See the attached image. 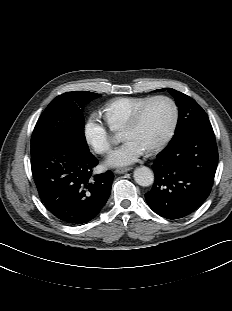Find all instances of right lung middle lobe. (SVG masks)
<instances>
[{
  "mask_svg": "<svg viewBox=\"0 0 232 311\" xmlns=\"http://www.w3.org/2000/svg\"><path fill=\"white\" fill-rule=\"evenodd\" d=\"M100 94L73 91L57 96L39 117L31 139V147L51 141L68 143L89 152L84 135L82 109Z\"/></svg>",
  "mask_w": 232,
  "mask_h": 311,
  "instance_id": "1",
  "label": "right lung middle lobe"
}]
</instances>
